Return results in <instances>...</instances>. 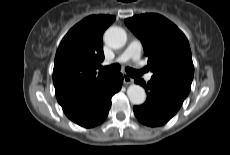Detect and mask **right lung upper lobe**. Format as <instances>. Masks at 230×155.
<instances>
[{"label": "right lung upper lobe", "instance_id": "cb5924a9", "mask_svg": "<svg viewBox=\"0 0 230 155\" xmlns=\"http://www.w3.org/2000/svg\"><path fill=\"white\" fill-rule=\"evenodd\" d=\"M114 20L111 15H91L62 39L53 69L56 97L61 106L87 96L113 75L96 70L104 60L103 33Z\"/></svg>", "mask_w": 230, "mask_h": 155}]
</instances>
